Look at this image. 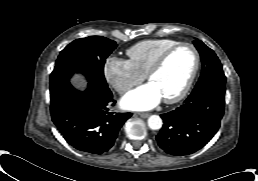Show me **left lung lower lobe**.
Here are the masks:
<instances>
[{"label": "left lung lower lobe", "mask_w": 258, "mask_h": 181, "mask_svg": "<svg viewBox=\"0 0 258 181\" xmlns=\"http://www.w3.org/2000/svg\"><path fill=\"white\" fill-rule=\"evenodd\" d=\"M225 107V84L212 83L193 91L176 110L162 114L164 125L156 136L166 153L192 154L204 147L220 127Z\"/></svg>", "instance_id": "0a47b994"}]
</instances>
